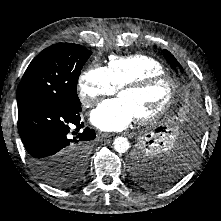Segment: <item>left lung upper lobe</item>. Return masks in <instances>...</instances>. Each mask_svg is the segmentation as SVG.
I'll use <instances>...</instances> for the list:
<instances>
[{
  "mask_svg": "<svg viewBox=\"0 0 221 221\" xmlns=\"http://www.w3.org/2000/svg\"><path fill=\"white\" fill-rule=\"evenodd\" d=\"M164 53L171 64H178L169 51L164 50ZM179 68L182 70L180 65ZM130 162L134 179L138 183L152 188H163L169 185V180L173 176V168H175L174 160L171 157H153L142 150L135 151Z\"/></svg>",
  "mask_w": 221,
  "mask_h": 221,
  "instance_id": "5c2ea615",
  "label": "left lung upper lobe"
}]
</instances>
